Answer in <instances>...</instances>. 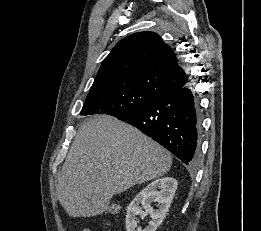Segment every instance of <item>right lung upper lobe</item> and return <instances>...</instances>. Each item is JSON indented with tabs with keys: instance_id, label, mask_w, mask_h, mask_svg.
Wrapping results in <instances>:
<instances>
[{
	"instance_id": "1",
	"label": "right lung upper lobe",
	"mask_w": 261,
	"mask_h": 231,
	"mask_svg": "<svg viewBox=\"0 0 261 231\" xmlns=\"http://www.w3.org/2000/svg\"><path fill=\"white\" fill-rule=\"evenodd\" d=\"M189 81L172 48L158 34L139 32L116 44L103 60L89 93L136 86L160 97Z\"/></svg>"
}]
</instances>
